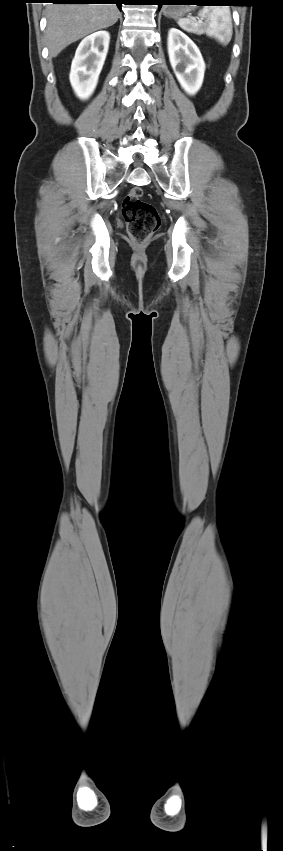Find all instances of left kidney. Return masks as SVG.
Returning <instances> with one entry per match:
<instances>
[{
	"instance_id": "obj_1",
	"label": "left kidney",
	"mask_w": 283,
	"mask_h": 851,
	"mask_svg": "<svg viewBox=\"0 0 283 851\" xmlns=\"http://www.w3.org/2000/svg\"><path fill=\"white\" fill-rule=\"evenodd\" d=\"M168 55L172 69L181 87L195 95L202 86L205 63L198 47L182 31L171 28L168 32Z\"/></svg>"
}]
</instances>
